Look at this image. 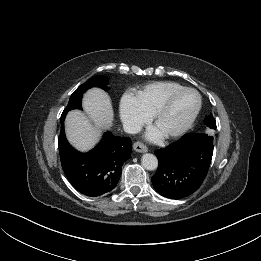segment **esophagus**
<instances>
[{
  "label": "esophagus",
  "instance_id": "obj_1",
  "mask_svg": "<svg viewBox=\"0 0 261 261\" xmlns=\"http://www.w3.org/2000/svg\"><path fill=\"white\" fill-rule=\"evenodd\" d=\"M133 149L136 151V152H140V153H145L148 151V148L141 142H135L133 144Z\"/></svg>",
  "mask_w": 261,
  "mask_h": 261
}]
</instances>
